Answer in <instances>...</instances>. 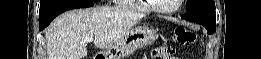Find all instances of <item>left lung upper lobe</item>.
Segmentation results:
<instances>
[{"label":"left lung upper lobe","instance_id":"5c2ea615","mask_svg":"<svg viewBox=\"0 0 261 59\" xmlns=\"http://www.w3.org/2000/svg\"><path fill=\"white\" fill-rule=\"evenodd\" d=\"M186 9L189 13H199L216 17L214 0H188Z\"/></svg>","mask_w":261,"mask_h":59}]
</instances>
